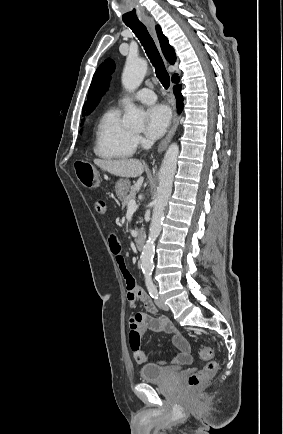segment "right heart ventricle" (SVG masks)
Returning <instances> with one entry per match:
<instances>
[{
	"mask_svg": "<svg viewBox=\"0 0 283 434\" xmlns=\"http://www.w3.org/2000/svg\"><path fill=\"white\" fill-rule=\"evenodd\" d=\"M135 149L132 132L121 123L120 109H108L95 130L93 150L96 156L106 160L127 159Z\"/></svg>",
	"mask_w": 283,
	"mask_h": 434,
	"instance_id": "right-heart-ventricle-1",
	"label": "right heart ventricle"
}]
</instances>
